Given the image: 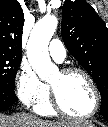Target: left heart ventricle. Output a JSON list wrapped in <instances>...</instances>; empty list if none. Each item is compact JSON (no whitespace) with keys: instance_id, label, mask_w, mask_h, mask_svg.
I'll return each mask as SVG.
<instances>
[{"instance_id":"obj_1","label":"left heart ventricle","mask_w":108,"mask_h":127,"mask_svg":"<svg viewBox=\"0 0 108 127\" xmlns=\"http://www.w3.org/2000/svg\"><path fill=\"white\" fill-rule=\"evenodd\" d=\"M50 84L55 87L64 108L75 115L89 113L94 105V95L86 79L78 73L66 76L57 72Z\"/></svg>"}]
</instances>
